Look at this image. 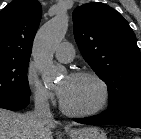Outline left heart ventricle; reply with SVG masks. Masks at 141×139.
<instances>
[{"label":"left heart ventricle","instance_id":"1","mask_svg":"<svg viewBox=\"0 0 141 139\" xmlns=\"http://www.w3.org/2000/svg\"><path fill=\"white\" fill-rule=\"evenodd\" d=\"M62 91L64 104L75 111H86L96 107L101 100V89L98 83L88 77H64L57 86Z\"/></svg>","mask_w":141,"mask_h":139}]
</instances>
